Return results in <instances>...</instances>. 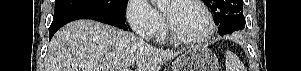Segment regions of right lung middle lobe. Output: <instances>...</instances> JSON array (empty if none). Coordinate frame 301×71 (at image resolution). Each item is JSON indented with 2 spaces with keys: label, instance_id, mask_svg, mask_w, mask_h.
<instances>
[{
  "label": "right lung middle lobe",
  "instance_id": "dd1d6c3e",
  "mask_svg": "<svg viewBox=\"0 0 301 71\" xmlns=\"http://www.w3.org/2000/svg\"><path fill=\"white\" fill-rule=\"evenodd\" d=\"M127 0H56L54 16L78 9L100 10L119 17L125 21V6Z\"/></svg>",
  "mask_w": 301,
  "mask_h": 71
}]
</instances>
